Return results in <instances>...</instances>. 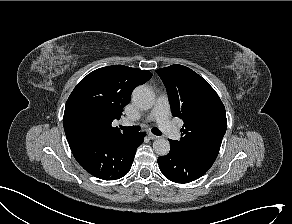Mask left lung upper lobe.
Returning <instances> with one entry per match:
<instances>
[{"mask_svg": "<svg viewBox=\"0 0 292 224\" xmlns=\"http://www.w3.org/2000/svg\"><path fill=\"white\" fill-rule=\"evenodd\" d=\"M162 79L174 117L184 121L174 146L211 167L227 128L225 107L215 90L197 73L182 65L156 70Z\"/></svg>", "mask_w": 292, "mask_h": 224, "instance_id": "5c2ea615", "label": "left lung upper lobe"}]
</instances>
